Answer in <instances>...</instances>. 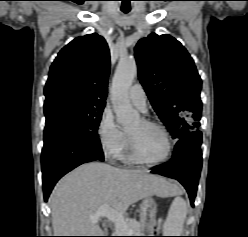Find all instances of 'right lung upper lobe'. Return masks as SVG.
<instances>
[{
  "instance_id": "1",
  "label": "right lung upper lobe",
  "mask_w": 248,
  "mask_h": 237,
  "mask_svg": "<svg viewBox=\"0 0 248 237\" xmlns=\"http://www.w3.org/2000/svg\"><path fill=\"white\" fill-rule=\"evenodd\" d=\"M109 72L110 53L105 39L95 33L75 38L51 65L45 102L61 97L105 102Z\"/></svg>"
}]
</instances>
